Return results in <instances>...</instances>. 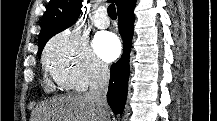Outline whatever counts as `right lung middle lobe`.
<instances>
[{
  "label": "right lung middle lobe",
  "mask_w": 217,
  "mask_h": 121,
  "mask_svg": "<svg viewBox=\"0 0 217 121\" xmlns=\"http://www.w3.org/2000/svg\"><path fill=\"white\" fill-rule=\"evenodd\" d=\"M41 52H42V50H41V51H39V52L37 53V55H38V58L40 57V55H41Z\"/></svg>",
  "instance_id": "obj_1"
}]
</instances>
